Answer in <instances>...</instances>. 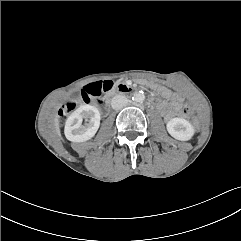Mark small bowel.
<instances>
[{
  "instance_id": "1",
  "label": "small bowel",
  "mask_w": 241,
  "mask_h": 241,
  "mask_svg": "<svg viewBox=\"0 0 241 241\" xmlns=\"http://www.w3.org/2000/svg\"><path fill=\"white\" fill-rule=\"evenodd\" d=\"M165 95L170 99L169 104L164 106L165 115L166 117H171L180 110L181 98L177 95H170L166 92Z\"/></svg>"
}]
</instances>
